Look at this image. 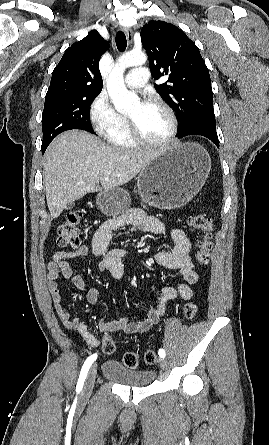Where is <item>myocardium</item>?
Listing matches in <instances>:
<instances>
[{
	"label": "myocardium",
	"mask_w": 269,
	"mask_h": 445,
	"mask_svg": "<svg viewBox=\"0 0 269 445\" xmlns=\"http://www.w3.org/2000/svg\"><path fill=\"white\" fill-rule=\"evenodd\" d=\"M142 103L143 104H156V105H159L160 107H162L166 111V113L168 114V116L170 118L171 129H170L169 134L163 140L151 141V140L146 139L141 134L139 127H138L136 121L134 120V118L128 115L127 122H128V126H129V129H130L133 139L136 141L137 144H140V145H143L146 147H150V148H165V147H167L175 139V137L178 133V127H179L178 119H177V116H176L173 108L166 101H164L162 98H159L156 96H150L147 99H145L144 101H142Z\"/></svg>",
	"instance_id": "myocardium-1"
}]
</instances>
